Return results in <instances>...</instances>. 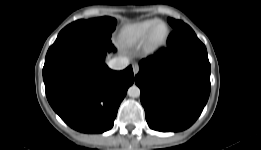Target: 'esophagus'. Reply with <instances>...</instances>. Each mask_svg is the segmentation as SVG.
Listing matches in <instances>:
<instances>
[{
  "instance_id": "1",
  "label": "esophagus",
  "mask_w": 261,
  "mask_h": 150,
  "mask_svg": "<svg viewBox=\"0 0 261 150\" xmlns=\"http://www.w3.org/2000/svg\"><path fill=\"white\" fill-rule=\"evenodd\" d=\"M139 72V66L137 64H133V73L136 75Z\"/></svg>"
}]
</instances>
